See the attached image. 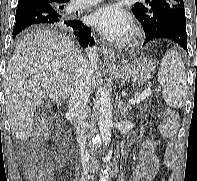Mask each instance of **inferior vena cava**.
I'll use <instances>...</instances> for the list:
<instances>
[{"instance_id": "inferior-vena-cava-1", "label": "inferior vena cava", "mask_w": 197, "mask_h": 181, "mask_svg": "<svg viewBox=\"0 0 197 181\" xmlns=\"http://www.w3.org/2000/svg\"><path fill=\"white\" fill-rule=\"evenodd\" d=\"M98 52L95 47L87 49V57L82 58L74 83L70 90L69 116L76 128L77 141L80 147L81 162L83 166L81 181H88L89 154L86 151V137L84 124L86 120L87 102L91 93V75L96 68Z\"/></svg>"}]
</instances>
